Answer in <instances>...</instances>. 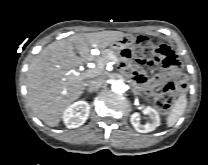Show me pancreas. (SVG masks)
I'll return each mask as SVG.
<instances>
[{
  "label": "pancreas",
  "instance_id": "1",
  "mask_svg": "<svg viewBox=\"0 0 208 165\" xmlns=\"http://www.w3.org/2000/svg\"><path fill=\"white\" fill-rule=\"evenodd\" d=\"M119 62L118 55L112 49H106L102 52V55L97 59L98 65L103 68L108 62Z\"/></svg>",
  "mask_w": 208,
  "mask_h": 165
}]
</instances>
